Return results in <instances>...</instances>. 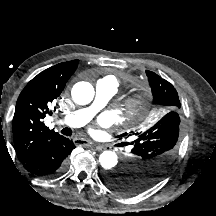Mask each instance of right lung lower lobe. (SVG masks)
<instances>
[{"mask_svg": "<svg viewBox=\"0 0 216 216\" xmlns=\"http://www.w3.org/2000/svg\"><path fill=\"white\" fill-rule=\"evenodd\" d=\"M74 148L75 145L72 141L59 135L23 163V166L34 175L52 177L62 171L67 157Z\"/></svg>", "mask_w": 216, "mask_h": 216, "instance_id": "right-lung-lower-lobe-1", "label": "right lung lower lobe"}]
</instances>
